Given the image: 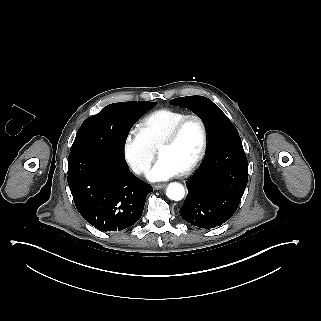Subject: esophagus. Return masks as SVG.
I'll use <instances>...</instances> for the list:
<instances>
[{
	"label": "esophagus",
	"instance_id": "1",
	"mask_svg": "<svg viewBox=\"0 0 321 321\" xmlns=\"http://www.w3.org/2000/svg\"><path fill=\"white\" fill-rule=\"evenodd\" d=\"M165 186H166V184H157L154 186V188L158 190V189L164 188Z\"/></svg>",
	"mask_w": 321,
	"mask_h": 321
}]
</instances>
